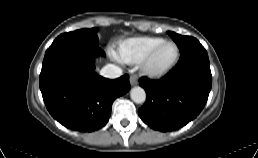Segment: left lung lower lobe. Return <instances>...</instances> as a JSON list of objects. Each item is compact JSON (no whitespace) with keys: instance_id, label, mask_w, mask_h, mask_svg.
Instances as JSON below:
<instances>
[{"instance_id":"0a47b994","label":"left lung lower lobe","mask_w":258,"mask_h":158,"mask_svg":"<svg viewBox=\"0 0 258 158\" xmlns=\"http://www.w3.org/2000/svg\"><path fill=\"white\" fill-rule=\"evenodd\" d=\"M212 85L210 63L199 41L181 52L180 61L165 77L140 79L147 94L138 110L152 129L172 131L193 120L205 106Z\"/></svg>"}]
</instances>
